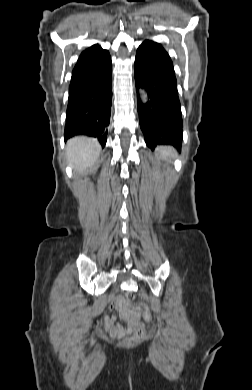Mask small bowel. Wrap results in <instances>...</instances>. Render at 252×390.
I'll return each instance as SVG.
<instances>
[{"label": "small bowel", "instance_id": "1", "mask_svg": "<svg viewBox=\"0 0 252 390\" xmlns=\"http://www.w3.org/2000/svg\"><path fill=\"white\" fill-rule=\"evenodd\" d=\"M112 308L118 312V321L116 315H109L106 318V329L112 334H127L134 330L136 321L139 317L138 314H132L129 312L125 300L121 296H117L113 299ZM143 316L146 320H150V314L147 308L143 309Z\"/></svg>", "mask_w": 252, "mask_h": 390}]
</instances>
